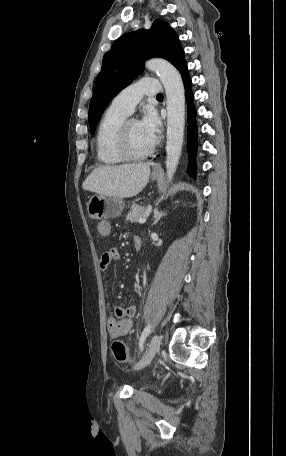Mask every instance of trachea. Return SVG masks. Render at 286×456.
Instances as JSON below:
<instances>
[{
    "mask_svg": "<svg viewBox=\"0 0 286 456\" xmlns=\"http://www.w3.org/2000/svg\"><path fill=\"white\" fill-rule=\"evenodd\" d=\"M156 97H157V98H161V97H163V95H162L161 93H159V94H157Z\"/></svg>",
    "mask_w": 286,
    "mask_h": 456,
    "instance_id": "obj_1",
    "label": "trachea"
}]
</instances>
